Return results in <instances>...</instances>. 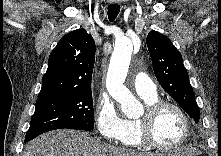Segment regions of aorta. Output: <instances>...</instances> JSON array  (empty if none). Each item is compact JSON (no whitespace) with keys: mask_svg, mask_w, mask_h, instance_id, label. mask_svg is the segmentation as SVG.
<instances>
[{"mask_svg":"<svg viewBox=\"0 0 221 156\" xmlns=\"http://www.w3.org/2000/svg\"><path fill=\"white\" fill-rule=\"evenodd\" d=\"M132 52L130 38L123 37L116 41L106 79L109 94L120 103L121 111L129 118L139 117L143 112L141 103L124 85Z\"/></svg>","mask_w":221,"mask_h":156,"instance_id":"obj_1","label":"aorta"}]
</instances>
